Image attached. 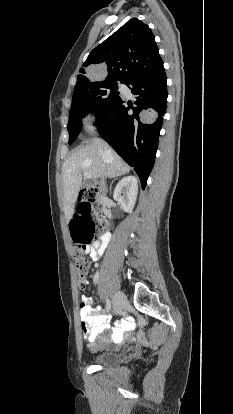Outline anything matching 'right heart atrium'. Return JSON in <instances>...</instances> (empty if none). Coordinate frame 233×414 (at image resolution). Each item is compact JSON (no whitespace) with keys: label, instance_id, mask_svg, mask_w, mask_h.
I'll use <instances>...</instances> for the list:
<instances>
[{"label":"right heart atrium","instance_id":"obj_1","mask_svg":"<svg viewBox=\"0 0 233 414\" xmlns=\"http://www.w3.org/2000/svg\"><path fill=\"white\" fill-rule=\"evenodd\" d=\"M97 119V114L95 112L88 113L86 120L88 122H94Z\"/></svg>","mask_w":233,"mask_h":414}]
</instances>
